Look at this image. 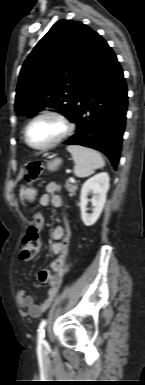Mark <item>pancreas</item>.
I'll return each mask as SVG.
<instances>
[{
	"instance_id": "pancreas-1",
	"label": "pancreas",
	"mask_w": 145,
	"mask_h": 385,
	"mask_svg": "<svg viewBox=\"0 0 145 385\" xmlns=\"http://www.w3.org/2000/svg\"><path fill=\"white\" fill-rule=\"evenodd\" d=\"M65 188L70 192V196L75 195L78 187L76 183H72L70 181H67L65 184Z\"/></svg>"
}]
</instances>
